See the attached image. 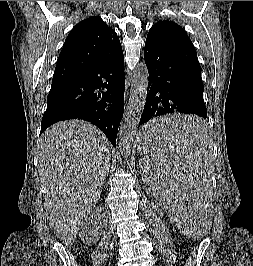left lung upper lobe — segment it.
<instances>
[{
    "mask_svg": "<svg viewBox=\"0 0 253 266\" xmlns=\"http://www.w3.org/2000/svg\"><path fill=\"white\" fill-rule=\"evenodd\" d=\"M157 27H167L168 29H170L174 32L187 35L181 26H179L178 24H176L172 21H169V20H161V21L157 22L154 26H152L151 29L157 28Z\"/></svg>",
    "mask_w": 253,
    "mask_h": 266,
    "instance_id": "5c2ea615",
    "label": "left lung upper lobe"
}]
</instances>
